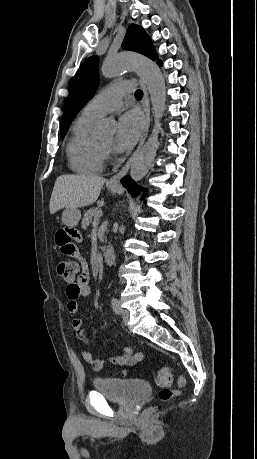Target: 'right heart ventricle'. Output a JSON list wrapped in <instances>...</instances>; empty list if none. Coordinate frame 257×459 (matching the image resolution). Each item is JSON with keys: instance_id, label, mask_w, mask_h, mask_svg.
Returning a JSON list of instances; mask_svg holds the SVG:
<instances>
[{"instance_id": "e07e8e85", "label": "right heart ventricle", "mask_w": 257, "mask_h": 459, "mask_svg": "<svg viewBox=\"0 0 257 459\" xmlns=\"http://www.w3.org/2000/svg\"><path fill=\"white\" fill-rule=\"evenodd\" d=\"M97 119L82 113L74 123L67 144L69 166L79 174H97L104 169L105 153L99 141L91 134Z\"/></svg>"}]
</instances>
